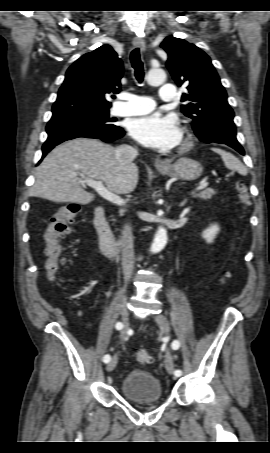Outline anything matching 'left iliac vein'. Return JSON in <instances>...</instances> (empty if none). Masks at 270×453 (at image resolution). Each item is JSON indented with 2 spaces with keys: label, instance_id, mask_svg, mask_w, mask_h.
Returning <instances> with one entry per match:
<instances>
[{
  "label": "left iliac vein",
  "instance_id": "left-iliac-vein-1",
  "mask_svg": "<svg viewBox=\"0 0 270 453\" xmlns=\"http://www.w3.org/2000/svg\"><path fill=\"white\" fill-rule=\"evenodd\" d=\"M155 321L157 322V324L159 325L161 330L166 335H168L170 333V325H169V322H168L167 318L164 315H162V314L156 315L155 316ZM165 367H166V370L168 371L169 374H173V372H174V364H173V360H172V357H171L169 352L166 353Z\"/></svg>",
  "mask_w": 270,
  "mask_h": 453
}]
</instances>
